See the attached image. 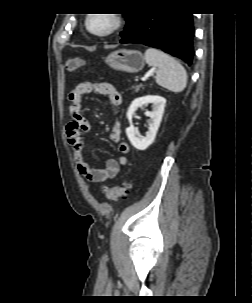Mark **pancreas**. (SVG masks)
Returning <instances> with one entry per match:
<instances>
[{"mask_svg": "<svg viewBox=\"0 0 252 303\" xmlns=\"http://www.w3.org/2000/svg\"><path fill=\"white\" fill-rule=\"evenodd\" d=\"M141 86H134L133 88L138 91L140 89Z\"/></svg>", "mask_w": 252, "mask_h": 303, "instance_id": "1", "label": "pancreas"}]
</instances>
